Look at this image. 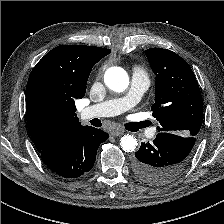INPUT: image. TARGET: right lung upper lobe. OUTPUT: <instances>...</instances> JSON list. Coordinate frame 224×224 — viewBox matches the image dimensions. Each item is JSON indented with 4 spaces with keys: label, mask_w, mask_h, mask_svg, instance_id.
Listing matches in <instances>:
<instances>
[{
    "label": "right lung upper lobe",
    "mask_w": 224,
    "mask_h": 224,
    "mask_svg": "<svg viewBox=\"0 0 224 224\" xmlns=\"http://www.w3.org/2000/svg\"><path fill=\"white\" fill-rule=\"evenodd\" d=\"M110 49L61 45L47 53L33 68L26 86V118L38 152L68 130L82 127L75 99L82 98L94 64ZM46 95L45 104L40 96Z\"/></svg>",
    "instance_id": "right-lung-upper-lobe-1"
}]
</instances>
